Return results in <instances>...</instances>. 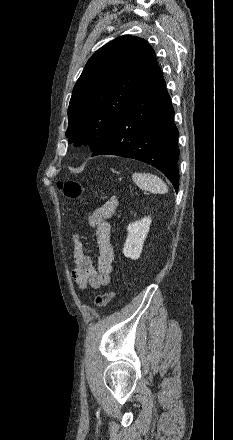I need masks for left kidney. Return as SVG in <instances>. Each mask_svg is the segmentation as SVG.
<instances>
[{
  "label": "left kidney",
  "instance_id": "left-kidney-1",
  "mask_svg": "<svg viewBox=\"0 0 233 440\" xmlns=\"http://www.w3.org/2000/svg\"><path fill=\"white\" fill-rule=\"evenodd\" d=\"M151 221V217L148 216L128 225V235L123 247V254L125 257L133 260L140 257L144 241L149 232Z\"/></svg>",
  "mask_w": 233,
  "mask_h": 440
}]
</instances>
